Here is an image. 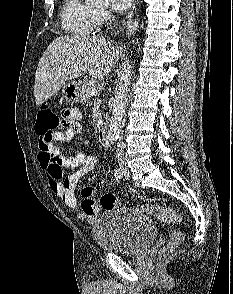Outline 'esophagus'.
Masks as SVG:
<instances>
[{
	"label": "esophagus",
	"instance_id": "obj_1",
	"mask_svg": "<svg viewBox=\"0 0 233 294\" xmlns=\"http://www.w3.org/2000/svg\"><path fill=\"white\" fill-rule=\"evenodd\" d=\"M140 4H141V0H134L133 5H132L129 13L126 16L125 26L127 27V35L128 36H131L134 33V31L136 30L134 17L136 16V14L139 11Z\"/></svg>",
	"mask_w": 233,
	"mask_h": 294
}]
</instances>
